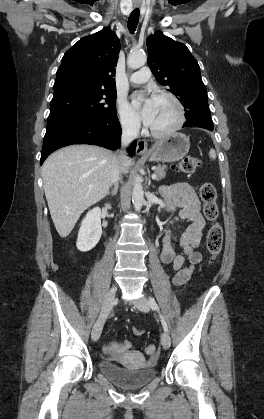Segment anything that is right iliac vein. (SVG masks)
Wrapping results in <instances>:
<instances>
[{"mask_svg": "<svg viewBox=\"0 0 264 419\" xmlns=\"http://www.w3.org/2000/svg\"><path fill=\"white\" fill-rule=\"evenodd\" d=\"M116 291H117V288L112 287L110 289V291L108 292L105 300H104L100 316H99L98 320L95 322V324L93 326V329H92V333H91V337L94 341H97L99 339L100 335H101L103 325L105 323L107 315L109 314L111 308L114 305L115 297H116Z\"/></svg>", "mask_w": 264, "mask_h": 419, "instance_id": "obj_1", "label": "right iliac vein"}]
</instances>
